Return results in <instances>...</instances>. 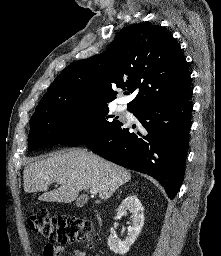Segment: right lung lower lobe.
Here are the masks:
<instances>
[{"label":"right lung lower lobe","mask_w":221,"mask_h":256,"mask_svg":"<svg viewBox=\"0 0 221 256\" xmlns=\"http://www.w3.org/2000/svg\"><path fill=\"white\" fill-rule=\"evenodd\" d=\"M191 97L192 93L179 99L152 101L135 111L143 133L131 132L119 122L85 145L113 163L155 178L173 199L184 177Z\"/></svg>","instance_id":"obj_1"}]
</instances>
